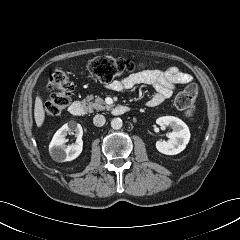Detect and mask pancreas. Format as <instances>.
Returning <instances> with one entry per match:
<instances>
[{
	"instance_id": "cf45deb5",
	"label": "pancreas",
	"mask_w": 240,
	"mask_h": 240,
	"mask_svg": "<svg viewBox=\"0 0 240 240\" xmlns=\"http://www.w3.org/2000/svg\"><path fill=\"white\" fill-rule=\"evenodd\" d=\"M93 99H94L93 95H88L86 97V99H84V102L87 103L90 111H92L93 109H96V110L107 109V110H109L112 107L111 105H107L102 98L96 97L94 99V101H92Z\"/></svg>"
}]
</instances>
